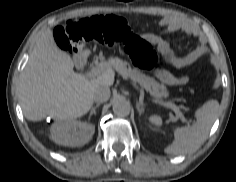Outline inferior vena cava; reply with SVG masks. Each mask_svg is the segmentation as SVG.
<instances>
[{
	"instance_id": "obj_1",
	"label": "inferior vena cava",
	"mask_w": 236,
	"mask_h": 182,
	"mask_svg": "<svg viewBox=\"0 0 236 182\" xmlns=\"http://www.w3.org/2000/svg\"><path fill=\"white\" fill-rule=\"evenodd\" d=\"M110 89L107 86H97L94 91V101L97 103L106 102L110 98Z\"/></svg>"
}]
</instances>
